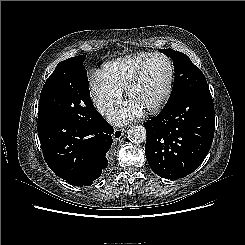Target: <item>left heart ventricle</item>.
I'll use <instances>...</instances> for the list:
<instances>
[{"label": "left heart ventricle", "mask_w": 245, "mask_h": 245, "mask_svg": "<svg viewBox=\"0 0 245 245\" xmlns=\"http://www.w3.org/2000/svg\"><path fill=\"white\" fill-rule=\"evenodd\" d=\"M168 73L166 60L160 57L152 58L146 66L141 81L131 91L128 99L142 109L155 103L165 89Z\"/></svg>", "instance_id": "obj_1"}]
</instances>
